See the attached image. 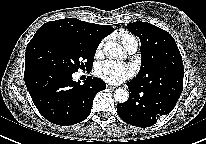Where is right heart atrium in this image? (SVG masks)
Returning <instances> with one entry per match:
<instances>
[{
	"label": "right heart atrium",
	"instance_id": "d8ad5b80",
	"mask_svg": "<svg viewBox=\"0 0 206 144\" xmlns=\"http://www.w3.org/2000/svg\"><path fill=\"white\" fill-rule=\"evenodd\" d=\"M102 45H103V42L100 43V45L98 46V48H97V53H99V52L101 51V49H102Z\"/></svg>",
	"mask_w": 206,
	"mask_h": 144
}]
</instances>
